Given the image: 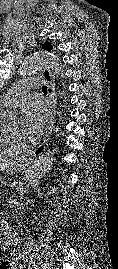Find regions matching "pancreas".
I'll return each mask as SVG.
<instances>
[{"label":"pancreas","mask_w":118,"mask_h":269,"mask_svg":"<svg viewBox=\"0 0 118 269\" xmlns=\"http://www.w3.org/2000/svg\"><path fill=\"white\" fill-rule=\"evenodd\" d=\"M1 191L2 192H9L10 191V188L9 187H2L1 188Z\"/></svg>","instance_id":"obj_1"}]
</instances>
